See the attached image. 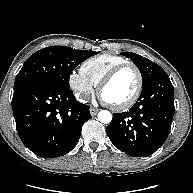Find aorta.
<instances>
[{"label":"aorta","mask_w":193,"mask_h":193,"mask_svg":"<svg viewBox=\"0 0 193 193\" xmlns=\"http://www.w3.org/2000/svg\"><path fill=\"white\" fill-rule=\"evenodd\" d=\"M98 120L103 124H108L112 120V114L108 110H101L98 113Z\"/></svg>","instance_id":"762f6f07"}]
</instances>
